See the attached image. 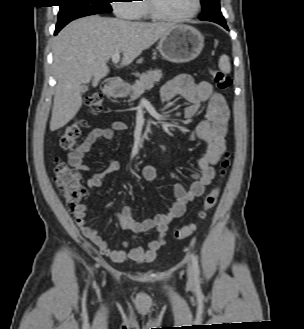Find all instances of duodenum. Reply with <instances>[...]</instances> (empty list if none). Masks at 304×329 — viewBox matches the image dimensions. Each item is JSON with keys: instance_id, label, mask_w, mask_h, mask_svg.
Here are the masks:
<instances>
[{"instance_id": "410a0bca", "label": "duodenum", "mask_w": 304, "mask_h": 329, "mask_svg": "<svg viewBox=\"0 0 304 329\" xmlns=\"http://www.w3.org/2000/svg\"><path fill=\"white\" fill-rule=\"evenodd\" d=\"M103 90L107 95H112L117 90V83L113 79L107 80L103 85Z\"/></svg>"}]
</instances>
